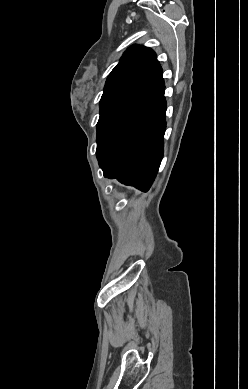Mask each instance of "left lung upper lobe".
Segmentation results:
<instances>
[{"instance_id": "1", "label": "left lung upper lobe", "mask_w": 248, "mask_h": 389, "mask_svg": "<svg viewBox=\"0 0 248 389\" xmlns=\"http://www.w3.org/2000/svg\"><path fill=\"white\" fill-rule=\"evenodd\" d=\"M156 61V54L152 49L138 45L129 47L106 80L100 100V112ZM102 141L97 137V147Z\"/></svg>"}]
</instances>
